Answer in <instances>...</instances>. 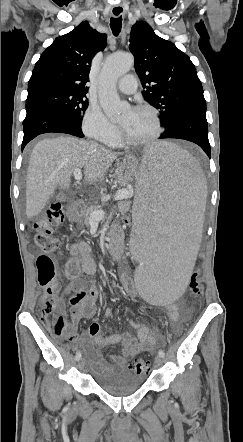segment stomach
I'll return each instance as SVG.
<instances>
[{
  "mask_svg": "<svg viewBox=\"0 0 243 442\" xmlns=\"http://www.w3.org/2000/svg\"><path fill=\"white\" fill-rule=\"evenodd\" d=\"M138 160L133 156H127L125 157L118 165L115 170V176L117 182L121 186H125L128 183L135 180V177L137 174V165ZM78 215V213L71 212L70 218L75 219Z\"/></svg>",
  "mask_w": 243,
  "mask_h": 442,
  "instance_id": "1",
  "label": "stomach"
}]
</instances>
